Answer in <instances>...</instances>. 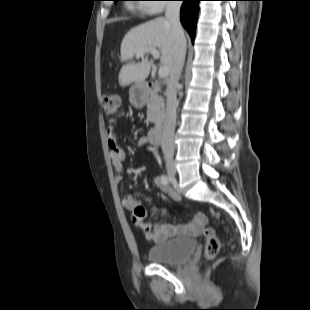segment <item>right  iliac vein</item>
<instances>
[{
    "label": "right iliac vein",
    "mask_w": 310,
    "mask_h": 310,
    "mask_svg": "<svg viewBox=\"0 0 310 310\" xmlns=\"http://www.w3.org/2000/svg\"><path fill=\"white\" fill-rule=\"evenodd\" d=\"M166 168L170 177H174L177 173L175 162L172 158H166L165 160Z\"/></svg>",
    "instance_id": "1"
}]
</instances>
